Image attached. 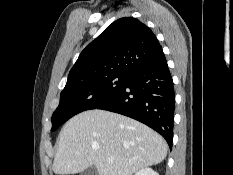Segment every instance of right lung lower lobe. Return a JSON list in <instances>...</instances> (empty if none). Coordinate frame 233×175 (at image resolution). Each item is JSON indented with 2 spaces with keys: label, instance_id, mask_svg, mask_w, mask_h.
Segmentation results:
<instances>
[{
  "label": "right lung lower lobe",
  "instance_id": "98d812e1",
  "mask_svg": "<svg viewBox=\"0 0 233 175\" xmlns=\"http://www.w3.org/2000/svg\"><path fill=\"white\" fill-rule=\"evenodd\" d=\"M173 80L164 54L129 74L121 91L97 107L138 120L161 134L172 148Z\"/></svg>",
  "mask_w": 233,
  "mask_h": 175
}]
</instances>
